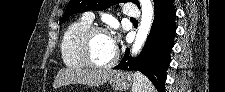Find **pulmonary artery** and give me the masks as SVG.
Returning <instances> with one entry per match:
<instances>
[{"instance_id": "pulmonary-artery-1", "label": "pulmonary artery", "mask_w": 225, "mask_h": 92, "mask_svg": "<svg viewBox=\"0 0 225 92\" xmlns=\"http://www.w3.org/2000/svg\"><path fill=\"white\" fill-rule=\"evenodd\" d=\"M124 14L127 17H129L130 19H135L136 17L139 16V12L136 10H126V11H124ZM84 17L90 22H93V20H94V15L91 12H86L84 14Z\"/></svg>"}]
</instances>
